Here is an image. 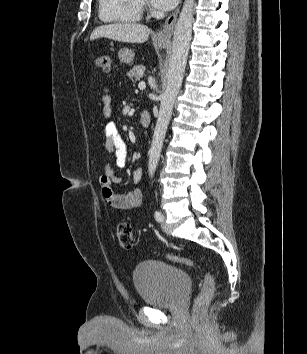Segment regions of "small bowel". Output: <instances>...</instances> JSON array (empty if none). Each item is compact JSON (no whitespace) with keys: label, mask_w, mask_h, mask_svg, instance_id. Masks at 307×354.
<instances>
[{"label":"small bowel","mask_w":307,"mask_h":354,"mask_svg":"<svg viewBox=\"0 0 307 354\" xmlns=\"http://www.w3.org/2000/svg\"><path fill=\"white\" fill-rule=\"evenodd\" d=\"M111 95L108 88L103 89L102 104L103 116L109 119L111 115ZM104 147L111 153L115 160V165L118 168H123L126 165L128 157V148L123 139L118 126L107 121L104 127ZM143 175L141 168H138L133 173V178L136 183L140 182ZM122 181V178L112 168L107 166L105 172L100 176V186L105 201L113 208L120 210H130L141 206L143 195L139 189H133L127 193H116L112 186Z\"/></svg>","instance_id":"small-bowel-1"}]
</instances>
